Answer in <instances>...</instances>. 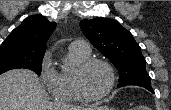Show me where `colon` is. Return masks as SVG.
I'll return each instance as SVG.
<instances>
[{
    "label": "colon",
    "mask_w": 171,
    "mask_h": 110,
    "mask_svg": "<svg viewBox=\"0 0 171 110\" xmlns=\"http://www.w3.org/2000/svg\"><path fill=\"white\" fill-rule=\"evenodd\" d=\"M130 110H140V108H138V107H133V108H131Z\"/></svg>",
    "instance_id": "obj_1"
}]
</instances>
